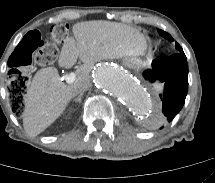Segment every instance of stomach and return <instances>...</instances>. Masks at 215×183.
<instances>
[{"instance_id": "obj_1", "label": "stomach", "mask_w": 215, "mask_h": 183, "mask_svg": "<svg viewBox=\"0 0 215 183\" xmlns=\"http://www.w3.org/2000/svg\"><path fill=\"white\" fill-rule=\"evenodd\" d=\"M125 61L131 67H137V66H140L141 64V61L136 57L125 58Z\"/></svg>"}]
</instances>
